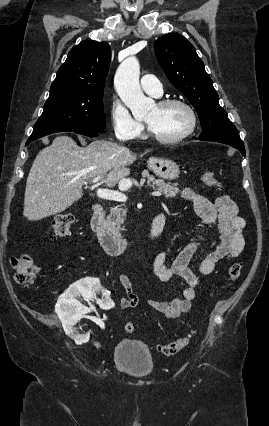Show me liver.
Here are the masks:
<instances>
[{
	"label": "liver",
	"mask_w": 269,
	"mask_h": 426,
	"mask_svg": "<svg viewBox=\"0 0 269 426\" xmlns=\"http://www.w3.org/2000/svg\"><path fill=\"white\" fill-rule=\"evenodd\" d=\"M137 159L127 147L107 140L80 147L58 136L36 156L26 181L23 216L37 221L65 211L83 195L85 181L100 177L113 188Z\"/></svg>",
	"instance_id": "1"
}]
</instances>
